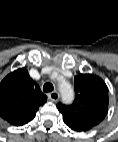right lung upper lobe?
<instances>
[{"label": "right lung upper lobe", "instance_id": "right-lung-upper-lobe-1", "mask_svg": "<svg viewBox=\"0 0 118 142\" xmlns=\"http://www.w3.org/2000/svg\"><path fill=\"white\" fill-rule=\"evenodd\" d=\"M46 101V95L24 68L11 72L0 83V116L11 125L32 121Z\"/></svg>", "mask_w": 118, "mask_h": 142}]
</instances>
